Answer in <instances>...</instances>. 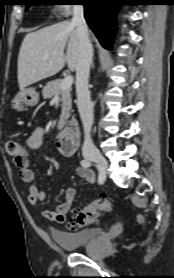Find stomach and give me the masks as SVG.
Instances as JSON below:
<instances>
[{
  "label": "stomach",
  "mask_w": 174,
  "mask_h": 278,
  "mask_svg": "<svg viewBox=\"0 0 174 278\" xmlns=\"http://www.w3.org/2000/svg\"><path fill=\"white\" fill-rule=\"evenodd\" d=\"M39 94L34 88L20 90L12 100V108L23 111L25 106L33 107L38 103Z\"/></svg>",
  "instance_id": "1"
}]
</instances>
